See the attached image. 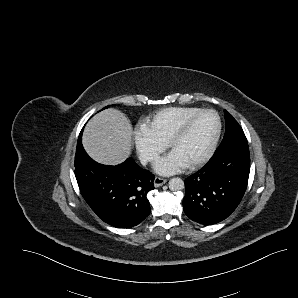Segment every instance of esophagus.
Returning a JSON list of instances; mask_svg holds the SVG:
<instances>
[{"label": "esophagus", "mask_w": 298, "mask_h": 298, "mask_svg": "<svg viewBox=\"0 0 298 298\" xmlns=\"http://www.w3.org/2000/svg\"><path fill=\"white\" fill-rule=\"evenodd\" d=\"M166 182H167V180L165 178L155 177V179H154V185H155V187H160L163 184H165Z\"/></svg>", "instance_id": "esophagus-1"}]
</instances>
